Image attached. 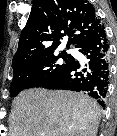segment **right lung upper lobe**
Wrapping results in <instances>:
<instances>
[{"instance_id":"right-lung-upper-lobe-1","label":"right lung upper lobe","mask_w":117,"mask_h":136,"mask_svg":"<svg viewBox=\"0 0 117 136\" xmlns=\"http://www.w3.org/2000/svg\"><path fill=\"white\" fill-rule=\"evenodd\" d=\"M101 25L95 8L87 0H33L12 67L53 55L66 34V47H78Z\"/></svg>"}]
</instances>
